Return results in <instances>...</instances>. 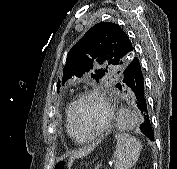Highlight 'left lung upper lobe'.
<instances>
[{
	"label": "left lung upper lobe",
	"instance_id": "left-lung-upper-lobe-1",
	"mask_svg": "<svg viewBox=\"0 0 177 169\" xmlns=\"http://www.w3.org/2000/svg\"><path fill=\"white\" fill-rule=\"evenodd\" d=\"M135 57V46L124 30L115 23L101 22L88 30L68 52L62 81L90 73L98 82L113 67L120 75Z\"/></svg>",
	"mask_w": 177,
	"mask_h": 169
}]
</instances>
